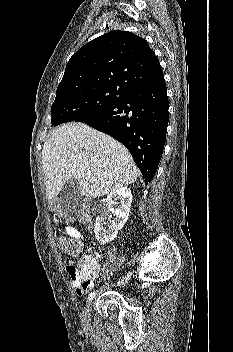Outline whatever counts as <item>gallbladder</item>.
<instances>
[{
	"label": "gallbladder",
	"instance_id": "bac80fb5",
	"mask_svg": "<svg viewBox=\"0 0 233 352\" xmlns=\"http://www.w3.org/2000/svg\"><path fill=\"white\" fill-rule=\"evenodd\" d=\"M82 196L80 185L77 179L68 180L60 192V205L62 210L67 214L76 213L79 209Z\"/></svg>",
	"mask_w": 233,
	"mask_h": 352
}]
</instances>
